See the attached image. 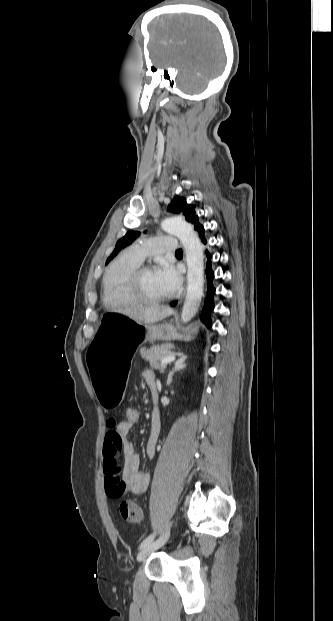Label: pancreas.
<instances>
[{
	"mask_svg": "<svg viewBox=\"0 0 333 621\" xmlns=\"http://www.w3.org/2000/svg\"><path fill=\"white\" fill-rule=\"evenodd\" d=\"M171 349H173L171 344L153 345L150 348L142 347L140 354L152 367L164 371L166 364H160V360L166 356L174 355L175 352Z\"/></svg>",
	"mask_w": 333,
	"mask_h": 621,
	"instance_id": "1",
	"label": "pancreas"
}]
</instances>
